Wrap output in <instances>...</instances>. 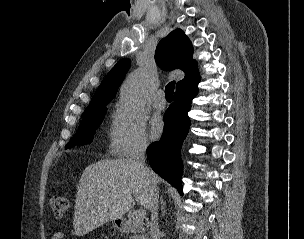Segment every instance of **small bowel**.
Here are the masks:
<instances>
[{"instance_id":"c3829d8e","label":"small bowel","mask_w":304,"mask_h":239,"mask_svg":"<svg viewBox=\"0 0 304 239\" xmlns=\"http://www.w3.org/2000/svg\"><path fill=\"white\" fill-rule=\"evenodd\" d=\"M64 233L61 231H57L52 235L51 239H63Z\"/></svg>"}]
</instances>
